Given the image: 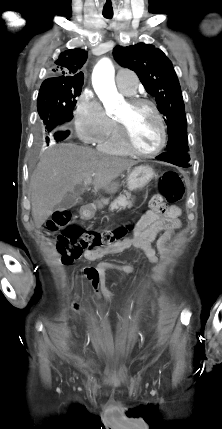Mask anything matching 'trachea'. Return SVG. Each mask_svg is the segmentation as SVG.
<instances>
[{"instance_id":"1","label":"trachea","mask_w":222,"mask_h":429,"mask_svg":"<svg viewBox=\"0 0 222 429\" xmlns=\"http://www.w3.org/2000/svg\"><path fill=\"white\" fill-rule=\"evenodd\" d=\"M103 16L107 19H111L113 17V12L111 13H103Z\"/></svg>"}]
</instances>
